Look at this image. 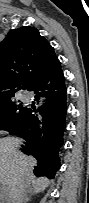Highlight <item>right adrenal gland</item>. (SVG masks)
<instances>
[{
  "label": "right adrenal gland",
  "instance_id": "right-adrenal-gland-1",
  "mask_svg": "<svg viewBox=\"0 0 89 203\" xmlns=\"http://www.w3.org/2000/svg\"><path fill=\"white\" fill-rule=\"evenodd\" d=\"M33 193L28 189V191L25 192L24 195V203H28L31 200Z\"/></svg>",
  "mask_w": 89,
  "mask_h": 203
}]
</instances>
